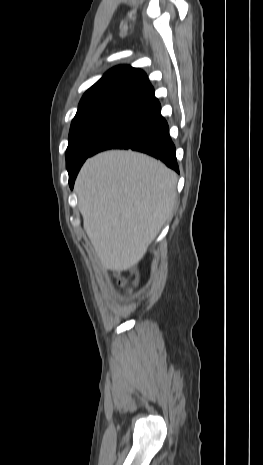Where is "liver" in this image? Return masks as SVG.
I'll return each instance as SVG.
<instances>
[{"label":"liver","mask_w":263,"mask_h":465,"mask_svg":"<svg viewBox=\"0 0 263 465\" xmlns=\"http://www.w3.org/2000/svg\"><path fill=\"white\" fill-rule=\"evenodd\" d=\"M177 175L142 153L112 150L88 159L75 182L84 229L104 269L138 264L171 217Z\"/></svg>","instance_id":"obj_1"}]
</instances>
